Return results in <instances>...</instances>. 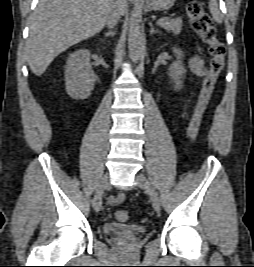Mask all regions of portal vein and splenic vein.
Returning a JSON list of instances; mask_svg holds the SVG:
<instances>
[{"instance_id":"1","label":"portal vein and splenic vein","mask_w":254,"mask_h":267,"mask_svg":"<svg viewBox=\"0 0 254 267\" xmlns=\"http://www.w3.org/2000/svg\"><path fill=\"white\" fill-rule=\"evenodd\" d=\"M169 18L168 17H161L157 20V24H162L166 22Z\"/></svg>"}]
</instances>
